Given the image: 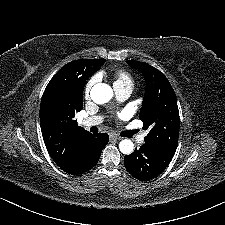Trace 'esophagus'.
<instances>
[{"label": "esophagus", "mask_w": 225, "mask_h": 225, "mask_svg": "<svg viewBox=\"0 0 225 225\" xmlns=\"http://www.w3.org/2000/svg\"><path fill=\"white\" fill-rule=\"evenodd\" d=\"M109 138H110L111 140H114V141L121 140V138H120L119 136H117L116 134H114V133H111V134L109 135Z\"/></svg>", "instance_id": "34e87169"}]
</instances>
